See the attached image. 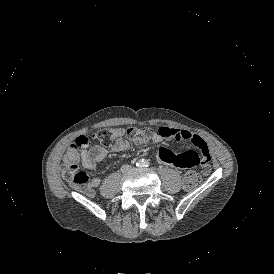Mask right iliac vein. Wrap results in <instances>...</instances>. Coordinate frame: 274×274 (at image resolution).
Masks as SVG:
<instances>
[{
    "instance_id": "right-iliac-vein-1",
    "label": "right iliac vein",
    "mask_w": 274,
    "mask_h": 274,
    "mask_svg": "<svg viewBox=\"0 0 274 274\" xmlns=\"http://www.w3.org/2000/svg\"><path fill=\"white\" fill-rule=\"evenodd\" d=\"M126 170H127V169H126V168H124V169H122V172L124 173V172H126Z\"/></svg>"
}]
</instances>
